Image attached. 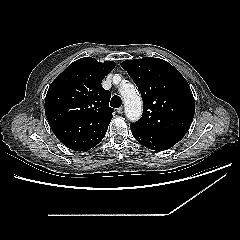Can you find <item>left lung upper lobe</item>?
Returning <instances> with one entry per match:
<instances>
[{"label": "left lung upper lobe", "mask_w": 240, "mask_h": 240, "mask_svg": "<svg viewBox=\"0 0 240 240\" xmlns=\"http://www.w3.org/2000/svg\"><path fill=\"white\" fill-rule=\"evenodd\" d=\"M140 90L141 119L130 127L146 133L186 134L195 113V101L186 79L170 63L144 57L121 63Z\"/></svg>", "instance_id": "1"}]
</instances>
